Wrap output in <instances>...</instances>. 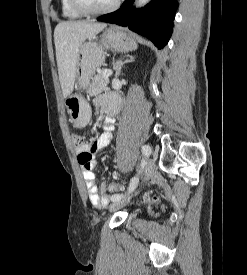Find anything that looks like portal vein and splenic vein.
Listing matches in <instances>:
<instances>
[{
	"label": "portal vein and splenic vein",
	"instance_id": "portal-vein-and-splenic-vein-1",
	"mask_svg": "<svg viewBox=\"0 0 247 275\" xmlns=\"http://www.w3.org/2000/svg\"><path fill=\"white\" fill-rule=\"evenodd\" d=\"M112 75V71L111 70H108V69H105L102 71V76L105 77V78H108Z\"/></svg>",
	"mask_w": 247,
	"mask_h": 275
}]
</instances>
